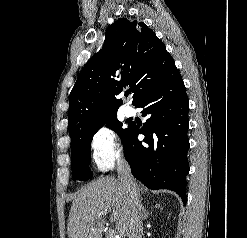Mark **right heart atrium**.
<instances>
[{
  "label": "right heart atrium",
  "mask_w": 247,
  "mask_h": 238,
  "mask_svg": "<svg viewBox=\"0 0 247 238\" xmlns=\"http://www.w3.org/2000/svg\"><path fill=\"white\" fill-rule=\"evenodd\" d=\"M91 158L100 170H108L122 158L123 148L116 132L108 125L99 127L90 140Z\"/></svg>",
  "instance_id": "obj_1"
}]
</instances>
